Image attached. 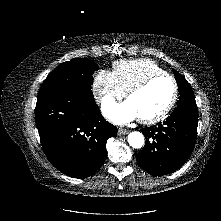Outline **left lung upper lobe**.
<instances>
[{"label": "left lung upper lobe", "mask_w": 221, "mask_h": 221, "mask_svg": "<svg viewBox=\"0 0 221 221\" xmlns=\"http://www.w3.org/2000/svg\"><path fill=\"white\" fill-rule=\"evenodd\" d=\"M176 81L179 88V101L177 107L174 110L181 109H196L197 105L195 102L193 90L187 80L177 71H174Z\"/></svg>", "instance_id": "obj_1"}]
</instances>
